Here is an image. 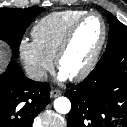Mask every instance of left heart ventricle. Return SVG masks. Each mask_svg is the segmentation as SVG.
<instances>
[{"label":"left heart ventricle","mask_w":127,"mask_h":127,"mask_svg":"<svg viewBox=\"0 0 127 127\" xmlns=\"http://www.w3.org/2000/svg\"><path fill=\"white\" fill-rule=\"evenodd\" d=\"M102 24L98 17L86 19L78 28L61 63V71L71 76L90 60L102 37Z\"/></svg>","instance_id":"left-heart-ventricle-1"}]
</instances>
